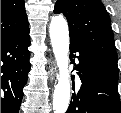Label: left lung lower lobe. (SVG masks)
Segmentation results:
<instances>
[{
    "label": "left lung lower lobe",
    "mask_w": 121,
    "mask_h": 113,
    "mask_svg": "<svg viewBox=\"0 0 121 113\" xmlns=\"http://www.w3.org/2000/svg\"><path fill=\"white\" fill-rule=\"evenodd\" d=\"M70 52V58L75 57L73 53H79L74 70L78 71L82 85L77 94H72L66 113H120L118 74L76 41L70 40Z\"/></svg>",
    "instance_id": "1"
}]
</instances>
